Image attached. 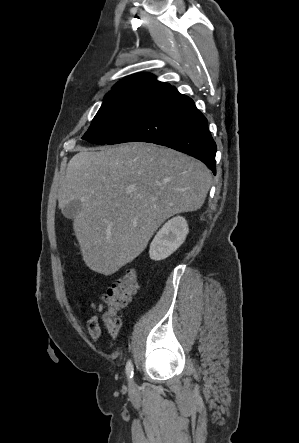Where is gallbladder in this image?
<instances>
[{
    "instance_id": "obj_1",
    "label": "gallbladder",
    "mask_w": 299,
    "mask_h": 443,
    "mask_svg": "<svg viewBox=\"0 0 299 443\" xmlns=\"http://www.w3.org/2000/svg\"><path fill=\"white\" fill-rule=\"evenodd\" d=\"M81 210L82 202L80 200H72L63 207L62 213L65 217L74 219Z\"/></svg>"
}]
</instances>
